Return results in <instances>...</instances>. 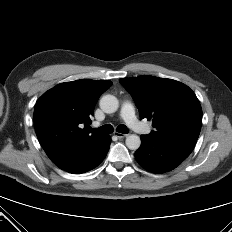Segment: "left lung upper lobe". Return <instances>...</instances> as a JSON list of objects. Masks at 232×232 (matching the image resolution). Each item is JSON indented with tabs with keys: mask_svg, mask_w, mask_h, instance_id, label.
<instances>
[{
	"mask_svg": "<svg viewBox=\"0 0 232 232\" xmlns=\"http://www.w3.org/2000/svg\"><path fill=\"white\" fill-rule=\"evenodd\" d=\"M119 81L132 95L141 118L152 120L156 130L150 136L198 139L202 109L188 86L176 80L148 75Z\"/></svg>",
	"mask_w": 232,
	"mask_h": 232,
	"instance_id": "obj_1",
	"label": "left lung upper lobe"
}]
</instances>
